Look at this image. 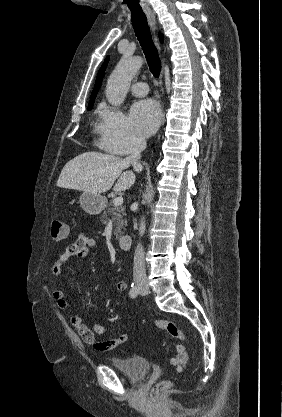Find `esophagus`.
<instances>
[{
    "instance_id": "obj_1",
    "label": "esophagus",
    "mask_w": 282,
    "mask_h": 417,
    "mask_svg": "<svg viewBox=\"0 0 282 417\" xmlns=\"http://www.w3.org/2000/svg\"><path fill=\"white\" fill-rule=\"evenodd\" d=\"M145 13L147 15V18H148V21H149V24H150L152 30H155V28H156L155 14L151 10H147V11H145ZM162 57H163V53H162ZM163 62H164V59H163ZM163 73H164V68L162 69V73H161V76H160V82H159L162 92H163Z\"/></svg>"
}]
</instances>
